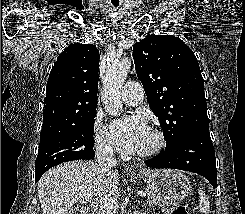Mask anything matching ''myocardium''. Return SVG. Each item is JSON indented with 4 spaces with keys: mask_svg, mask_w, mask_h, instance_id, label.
Wrapping results in <instances>:
<instances>
[{
    "mask_svg": "<svg viewBox=\"0 0 245 214\" xmlns=\"http://www.w3.org/2000/svg\"><path fill=\"white\" fill-rule=\"evenodd\" d=\"M149 131L155 137L156 143L153 147H151L148 150L135 153V156L138 158H142V159L152 158L158 155L166 146V136L161 130L157 128H152Z\"/></svg>",
    "mask_w": 245,
    "mask_h": 214,
    "instance_id": "myocardium-1",
    "label": "myocardium"
}]
</instances>
